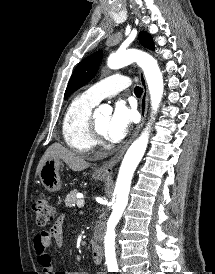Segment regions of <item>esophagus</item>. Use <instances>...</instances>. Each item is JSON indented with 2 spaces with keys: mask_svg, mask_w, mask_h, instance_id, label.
I'll return each mask as SVG.
<instances>
[{
  "mask_svg": "<svg viewBox=\"0 0 215 274\" xmlns=\"http://www.w3.org/2000/svg\"><path fill=\"white\" fill-rule=\"evenodd\" d=\"M139 78H140V82L143 88V94H142V98H141V102H140V113H141V121L140 123L137 125V127L135 128L131 138L129 139V141L122 147V149L114 156L112 157L109 161L105 162L104 164H102L100 167H98L96 169V173L102 176H110L112 174L113 171V167L120 161V159L123 157L125 151L127 150L129 144L134 140V138L138 135L139 131L141 130L145 118H146V114H147V108H148V87H147V83L144 77V74L142 73V71H139Z\"/></svg>",
  "mask_w": 215,
  "mask_h": 274,
  "instance_id": "obj_1",
  "label": "esophagus"
}]
</instances>
